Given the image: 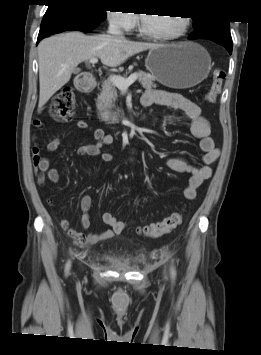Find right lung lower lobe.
<instances>
[{"label": "right lung lower lobe", "mask_w": 261, "mask_h": 355, "mask_svg": "<svg viewBox=\"0 0 261 355\" xmlns=\"http://www.w3.org/2000/svg\"><path fill=\"white\" fill-rule=\"evenodd\" d=\"M102 21L95 20L69 7L52 5L47 9L41 22L37 44L44 37L67 30L88 32L96 28Z\"/></svg>", "instance_id": "right-lung-lower-lobe-1"}]
</instances>
